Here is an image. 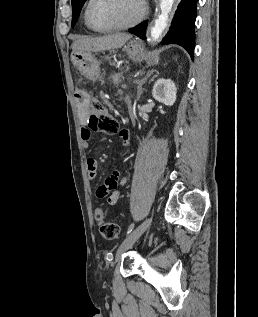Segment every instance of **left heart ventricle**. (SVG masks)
<instances>
[{
	"label": "left heart ventricle",
	"instance_id": "left-heart-ventricle-1",
	"mask_svg": "<svg viewBox=\"0 0 258 317\" xmlns=\"http://www.w3.org/2000/svg\"><path fill=\"white\" fill-rule=\"evenodd\" d=\"M138 12L134 0H98L91 7L90 17L99 27L125 26L135 20Z\"/></svg>",
	"mask_w": 258,
	"mask_h": 317
}]
</instances>
